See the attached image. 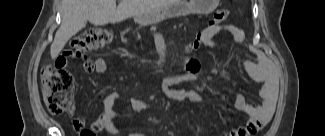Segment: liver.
Listing matches in <instances>:
<instances>
[{
  "instance_id": "6515ba94",
  "label": "liver",
  "mask_w": 325,
  "mask_h": 136,
  "mask_svg": "<svg viewBox=\"0 0 325 136\" xmlns=\"http://www.w3.org/2000/svg\"><path fill=\"white\" fill-rule=\"evenodd\" d=\"M173 3V0H119L116 6V0H63L62 22L50 48L51 58L58 57L68 40L83 29L87 21L96 26L114 24Z\"/></svg>"
}]
</instances>
